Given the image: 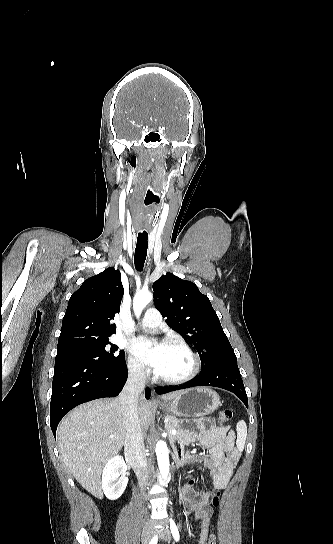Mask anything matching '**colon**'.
Masks as SVG:
<instances>
[{
	"label": "colon",
	"mask_w": 333,
	"mask_h": 544,
	"mask_svg": "<svg viewBox=\"0 0 333 544\" xmlns=\"http://www.w3.org/2000/svg\"><path fill=\"white\" fill-rule=\"evenodd\" d=\"M232 411L229 410V409H225L223 411L220 412L219 416H218V422L220 425H224L225 423H227L228 421L231 420L232 418ZM219 491H217L211 498V502H212V505L214 507H217L219 505ZM207 544H216V538L213 534H211L209 537H208V540H207Z\"/></svg>",
	"instance_id": "5ec220e1"
}]
</instances>
